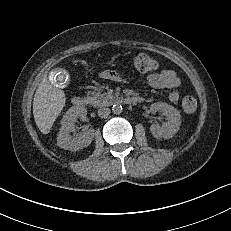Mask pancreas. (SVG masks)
Segmentation results:
<instances>
[{
	"label": "pancreas",
	"instance_id": "cf45deb5",
	"mask_svg": "<svg viewBox=\"0 0 231 231\" xmlns=\"http://www.w3.org/2000/svg\"><path fill=\"white\" fill-rule=\"evenodd\" d=\"M113 100V96L108 95L106 93H102L100 90L97 92H93L90 97H88V101L91 105L102 107L109 105V103Z\"/></svg>",
	"mask_w": 231,
	"mask_h": 231
}]
</instances>
